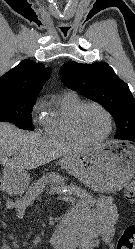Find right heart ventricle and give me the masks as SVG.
<instances>
[{
	"label": "right heart ventricle",
	"mask_w": 135,
	"mask_h": 249,
	"mask_svg": "<svg viewBox=\"0 0 135 249\" xmlns=\"http://www.w3.org/2000/svg\"><path fill=\"white\" fill-rule=\"evenodd\" d=\"M83 104L74 92H67L53 100V105L43 121L44 133L54 141L65 145L84 144L72 128V116Z\"/></svg>",
	"instance_id": "right-heart-ventricle-1"
}]
</instances>
